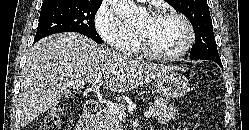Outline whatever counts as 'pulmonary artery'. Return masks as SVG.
I'll return each mask as SVG.
<instances>
[{
    "instance_id": "e3ab8cb5",
    "label": "pulmonary artery",
    "mask_w": 249,
    "mask_h": 130,
    "mask_svg": "<svg viewBox=\"0 0 249 130\" xmlns=\"http://www.w3.org/2000/svg\"><path fill=\"white\" fill-rule=\"evenodd\" d=\"M138 1H142V2H145V1H148V0H138Z\"/></svg>"
}]
</instances>
